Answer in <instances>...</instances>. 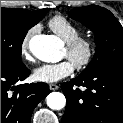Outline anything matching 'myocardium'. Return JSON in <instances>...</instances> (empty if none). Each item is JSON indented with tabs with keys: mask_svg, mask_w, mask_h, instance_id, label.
Here are the masks:
<instances>
[{
	"mask_svg": "<svg viewBox=\"0 0 123 123\" xmlns=\"http://www.w3.org/2000/svg\"><path fill=\"white\" fill-rule=\"evenodd\" d=\"M65 48L70 57H73L80 51L83 52L82 57L74 62V67L77 70L87 68L93 62L96 55V43L90 37L79 35L66 42Z\"/></svg>",
	"mask_w": 123,
	"mask_h": 123,
	"instance_id": "f54148a6",
	"label": "myocardium"
}]
</instances>
